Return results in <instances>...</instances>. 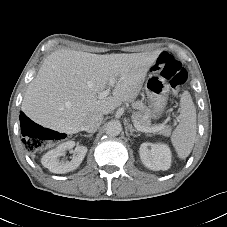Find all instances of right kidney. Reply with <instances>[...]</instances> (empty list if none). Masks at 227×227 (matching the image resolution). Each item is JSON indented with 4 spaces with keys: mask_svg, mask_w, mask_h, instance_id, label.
Segmentation results:
<instances>
[{
    "mask_svg": "<svg viewBox=\"0 0 227 227\" xmlns=\"http://www.w3.org/2000/svg\"><path fill=\"white\" fill-rule=\"evenodd\" d=\"M75 145L74 141H67L48 151L41 159L42 165L57 174L75 170L82 163L88 151L86 146L77 145L70 161L65 157L61 158L67 150L73 149Z\"/></svg>",
    "mask_w": 227,
    "mask_h": 227,
    "instance_id": "1",
    "label": "right kidney"
}]
</instances>
